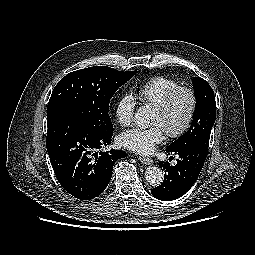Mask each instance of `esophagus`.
I'll return each mask as SVG.
<instances>
[{"label":"esophagus","mask_w":255,"mask_h":255,"mask_svg":"<svg viewBox=\"0 0 255 255\" xmlns=\"http://www.w3.org/2000/svg\"><path fill=\"white\" fill-rule=\"evenodd\" d=\"M139 160L146 165H151L153 163V160L147 157H139Z\"/></svg>","instance_id":"34e87169"}]
</instances>
